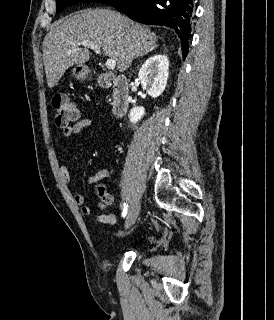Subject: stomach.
Listing matches in <instances>:
<instances>
[{
  "mask_svg": "<svg viewBox=\"0 0 274 320\" xmlns=\"http://www.w3.org/2000/svg\"><path fill=\"white\" fill-rule=\"evenodd\" d=\"M90 72L91 70L87 66H78V68H74L73 70V74L78 80H85Z\"/></svg>",
  "mask_w": 274,
  "mask_h": 320,
  "instance_id": "1",
  "label": "stomach"
}]
</instances>
